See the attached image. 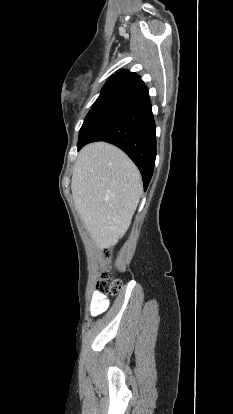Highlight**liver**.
Instances as JSON below:
<instances>
[{
    "instance_id": "obj_1",
    "label": "liver",
    "mask_w": 233,
    "mask_h": 414,
    "mask_svg": "<svg viewBox=\"0 0 233 414\" xmlns=\"http://www.w3.org/2000/svg\"><path fill=\"white\" fill-rule=\"evenodd\" d=\"M71 190L92 239L97 246L107 247L130 225L143 186L138 168L123 151L95 142L79 152Z\"/></svg>"
}]
</instances>
